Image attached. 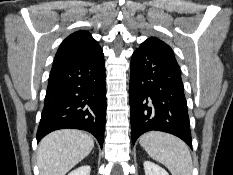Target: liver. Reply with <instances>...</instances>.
<instances>
[{
  "label": "liver",
  "mask_w": 233,
  "mask_h": 175,
  "mask_svg": "<svg viewBox=\"0 0 233 175\" xmlns=\"http://www.w3.org/2000/svg\"><path fill=\"white\" fill-rule=\"evenodd\" d=\"M93 147L94 140L86 132L75 129L51 132L39 143L40 175H65L88 156Z\"/></svg>",
  "instance_id": "liver-1"
}]
</instances>
